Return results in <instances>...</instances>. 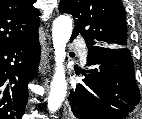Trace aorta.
I'll return each mask as SVG.
<instances>
[{
  "mask_svg": "<svg viewBox=\"0 0 142 119\" xmlns=\"http://www.w3.org/2000/svg\"><path fill=\"white\" fill-rule=\"evenodd\" d=\"M72 30V20L67 15H60L53 22L52 42L56 68L48 97L47 106L50 113H54L60 108L66 96L67 82L63 63L66 56V45L70 39Z\"/></svg>",
  "mask_w": 142,
  "mask_h": 119,
  "instance_id": "obj_1",
  "label": "aorta"
}]
</instances>
